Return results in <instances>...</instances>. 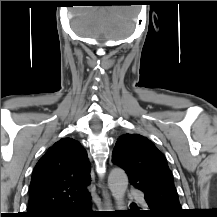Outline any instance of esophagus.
I'll use <instances>...</instances> for the list:
<instances>
[{
    "label": "esophagus",
    "mask_w": 217,
    "mask_h": 217,
    "mask_svg": "<svg viewBox=\"0 0 217 217\" xmlns=\"http://www.w3.org/2000/svg\"><path fill=\"white\" fill-rule=\"evenodd\" d=\"M103 194H104V206L106 207V208H112V204H111V201H110V197H109V195H108V193H107V191H103Z\"/></svg>",
    "instance_id": "obj_1"
}]
</instances>
